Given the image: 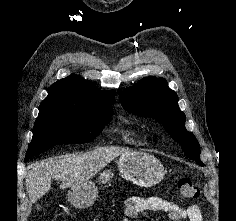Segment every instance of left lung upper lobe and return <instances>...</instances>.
I'll return each instance as SVG.
<instances>
[{
  "instance_id": "1",
  "label": "left lung upper lobe",
  "mask_w": 236,
  "mask_h": 221,
  "mask_svg": "<svg viewBox=\"0 0 236 221\" xmlns=\"http://www.w3.org/2000/svg\"><path fill=\"white\" fill-rule=\"evenodd\" d=\"M123 108L134 115L152 117L160 122L170 136L182 145L185 154L204 165L200 159V145L196 137L185 128V114L179 109L177 94L169 89L163 78L142 79L120 95Z\"/></svg>"
}]
</instances>
